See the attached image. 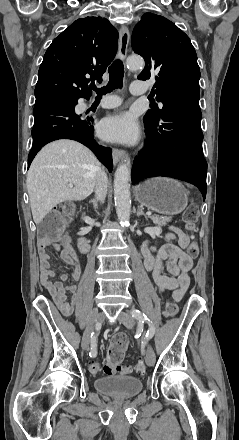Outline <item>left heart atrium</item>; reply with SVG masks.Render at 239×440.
<instances>
[{"mask_svg":"<svg viewBox=\"0 0 239 440\" xmlns=\"http://www.w3.org/2000/svg\"><path fill=\"white\" fill-rule=\"evenodd\" d=\"M100 131L104 138L120 143H133L139 136L138 123L130 112H121L104 119Z\"/></svg>","mask_w":239,"mask_h":440,"instance_id":"39dd6f15","label":"left heart atrium"}]
</instances>
